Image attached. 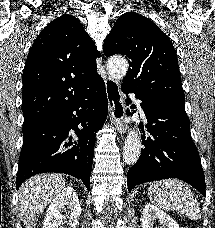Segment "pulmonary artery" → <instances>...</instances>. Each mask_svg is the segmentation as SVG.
Here are the masks:
<instances>
[{"instance_id": "e3ab8cb5", "label": "pulmonary artery", "mask_w": 215, "mask_h": 228, "mask_svg": "<svg viewBox=\"0 0 215 228\" xmlns=\"http://www.w3.org/2000/svg\"><path fill=\"white\" fill-rule=\"evenodd\" d=\"M123 93L127 92L126 88L122 89ZM130 102H137L138 105L135 106L136 110H140L141 112H143L144 106L140 105L141 104V97H130Z\"/></svg>"}]
</instances>
